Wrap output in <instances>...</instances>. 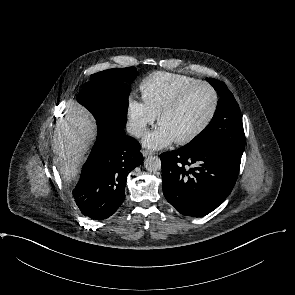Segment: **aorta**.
I'll return each mask as SVG.
<instances>
[{"mask_svg": "<svg viewBox=\"0 0 295 295\" xmlns=\"http://www.w3.org/2000/svg\"><path fill=\"white\" fill-rule=\"evenodd\" d=\"M144 166L149 172H156L161 169V160L157 156H149L144 161Z\"/></svg>", "mask_w": 295, "mask_h": 295, "instance_id": "1", "label": "aorta"}]
</instances>
